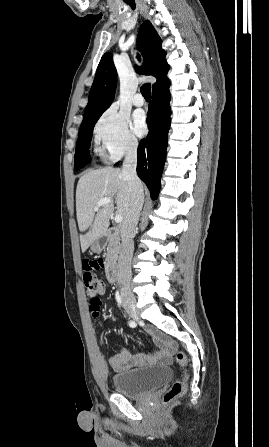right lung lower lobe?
<instances>
[{"label": "right lung lower lobe", "instance_id": "1", "mask_svg": "<svg viewBox=\"0 0 269 447\" xmlns=\"http://www.w3.org/2000/svg\"><path fill=\"white\" fill-rule=\"evenodd\" d=\"M169 86L167 74L157 79L153 85V100L147 114L149 134L140 141L137 151V174L150 189L152 199L158 196L166 159L171 115Z\"/></svg>", "mask_w": 269, "mask_h": 447}]
</instances>
